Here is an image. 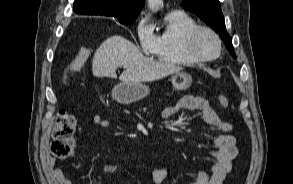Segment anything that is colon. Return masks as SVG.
I'll return each instance as SVG.
<instances>
[{"label": "colon", "mask_w": 293, "mask_h": 184, "mask_svg": "<svg viewBox=\"0 0 293 184\" xmlns=\"http://www.w3.org/2000/svg\"><path fill=\"white\" fill-rule=\"evenodd\" d=\"M92 54L89 47L82 48L74 59L65 69L64 83H67L68 74L80 70ZM218 103L224 107H229V99L219 94L217 96ZM75 117L66 110H60L56 117L52 131V143L50 147V155L52 159L65 160L70 157L75 149L73 135L76 131Z\"/></svg>", "instance_id": "5ec220e1"}]
</instances>
